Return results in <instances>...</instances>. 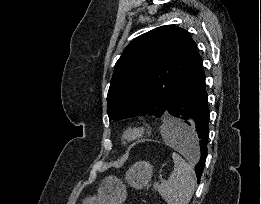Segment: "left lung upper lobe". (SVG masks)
I'll list each match as a JSON object with an SVG mask.
<instances>
[{"label":"left lung upper lobe","instance_id":"1","mask_svg":"<svg viewBox=\"0 0 261 204\" xmlns=\"http://www.w3.org/2000/svg\"><path fill=\"white\" fill-rule=\"evenodd\" d=\"M195 52L190 34L174 25L131 41L115 64L107 95L109 119L162 116Z\"/></svg>","mask_w":261,"mask_h":204}]
</instances>
